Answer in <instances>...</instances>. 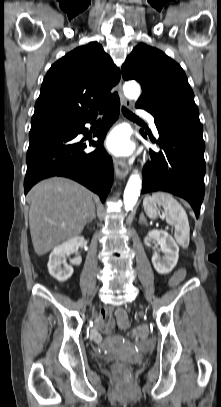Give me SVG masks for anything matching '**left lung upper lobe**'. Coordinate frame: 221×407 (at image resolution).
<instances>
[{
  "instance_id": "1",
  "label": "left lung upper lobe",
  "mask_w": 221,
  "mask_h": 407,
  "mask_svg": "<svg viewBox=\"0 0 221 407\" xmlns=\"http://www.w3.org/2000/svg\"><path fill=\"white\" fill-rule=\"evenodd\" d=\"M122 76L141 84L142 95L136 107L154 117L180 111L199 113L183 69L154 47L138 44L123 64Z\"/></svg>"
}]
</instances>
